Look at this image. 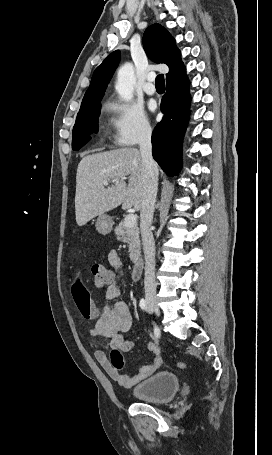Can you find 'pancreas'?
<instances>
[{
  "label": "pancreas",
  "mask_w": 272,
  "mask_h": 455,
  "mask_svg": "<svg viewBox=\"0 0 272 455\" xmlns=\"http://www.w3.org/2000/svg\"><path fill=\"white\" fill-rule=\"evenodd\" d=\"M139 233L137 224L132 227H126L124 221H121L115 228L117 240L128 244L130 260L133 263H137L140 258Z\"/></svg>",
  "instance_id": "cf45deb5"
}]
</instances>
